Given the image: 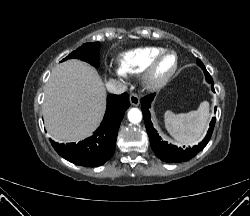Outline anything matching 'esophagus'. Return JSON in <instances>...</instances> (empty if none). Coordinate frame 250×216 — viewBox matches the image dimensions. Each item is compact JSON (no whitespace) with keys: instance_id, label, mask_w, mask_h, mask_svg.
<instances>
[{"instance_id":"1","label":"esophagus","mask_w":250,"mask_h":216,"mask_svg":"<svg viewBox=\"0 0 250 216\" xmlns=\"http://www.w3.org/2000/svg\"><path fill=\"white\" fill-rule=\"evenodd\" d=\"M130 99V103L133 105V106H138L140 104V97L135 94V93H132L129 97Z\"/></svg>"}]
</instances>
